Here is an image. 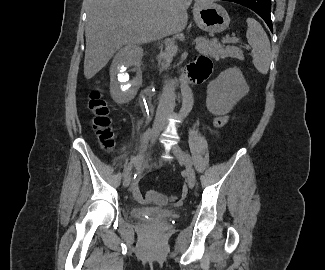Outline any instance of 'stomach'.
Returning <instances> with one entry per match:
<instances>
[{
	"mask_svg": "<svg viewBox=\"0 0 325 270\" xmlns=\"http://www.w3.org/2000/svg\"><path fill=\"white\" fill-rule=\"evenodd\" d=\"M193 14L197 25L204 31L222 32L230 24L226 10L215 3H198L194 7Z\"/></svg>",
	"mask_w": 325,
	"mask_h": 270,
	"instance_id": "stomach-1",
	"label": "stomach"
}]
</instances>
